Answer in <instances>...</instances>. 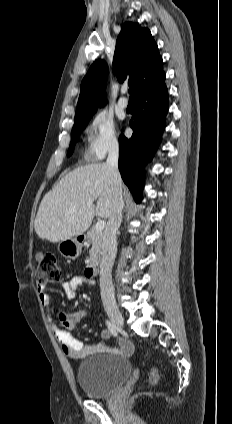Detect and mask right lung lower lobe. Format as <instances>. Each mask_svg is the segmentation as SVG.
<instances>
[{"label":"right lung lower lobe","mask_w":232,"mask_h":424,"mask_svg":"<svg viewBox=\"0 0 232 424\" xmlns=\"http://www.w3.org/2000/svg\"><path fill=\"white\" fill-rule=\"evenodd\" d=\"M135 98L136 110L130 120L132 137H119V170L135 200L140 202L144 165L152 159L165 128L169 107L165 73Z\"/></svg>","instance_id":"98d812e1"}]
</instances>
